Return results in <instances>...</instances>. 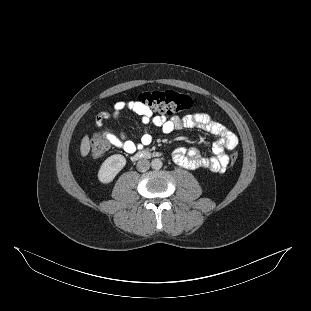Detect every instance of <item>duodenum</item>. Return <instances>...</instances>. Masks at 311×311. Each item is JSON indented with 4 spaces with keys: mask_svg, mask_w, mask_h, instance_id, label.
Returning <instances> with one entry per match:
<instances>
[{
    "mask_svg": "<svg viewBox=\"0 0 311 311\" xmlns=\"http://www.w3.org/2000/svg\"><path fill=\"white\" fill-rule=\"evenodd\" d=\"M150 156H151V154H150L149 152H147V151H140V152L136 153V154L133 156V158H134L135 160H137V159H142V158H148V157H150Z\"/></svg>",
    "mask_w": 311,
    "mask_h": 311,
    "instance_id": "1",
    "label": "duodenum"
}]
</instances>
